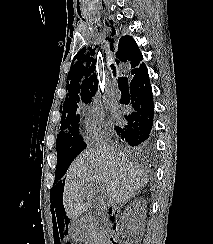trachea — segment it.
<instances>
[{"label": "trachea", "mask_w": 213, "mask_h": 244, "mask_svg": "<svg viewBox=\"0 0 213 244\" xmlns=\"http://www.w3.org/2000/svg\"><path fill=\"white\" fill-rule=\"evenodd\" d=\"M111 68L113 69L114 75H116L114 64H111ZM118 86H119V89H120V91L122 93H128L129 92V87H128V79H127V77H120L118 79Z\"/></svg>", "instance_id": "1"}]
</instances>
